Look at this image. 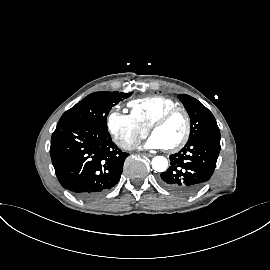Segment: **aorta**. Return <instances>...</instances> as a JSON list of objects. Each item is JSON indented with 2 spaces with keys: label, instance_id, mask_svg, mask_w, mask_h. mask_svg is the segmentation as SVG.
Segmentation results:
<instances>
[{
  "label": "aorta",
  "instance_id": "762f6f07",
  "mask_svg": "<svg viewBox=\"0 0 270 270\" xmlns=\"http://www.w3.org/2000/svg\"><path fill=\"white\" fill-rule=\"evenodd\" d=\"M152 168L157 172H164L168 167V161L163 156H156L152 159Z\"/></svg>",
  "mask_w": 270,
  "mask_h": 270
}]
</instances>
